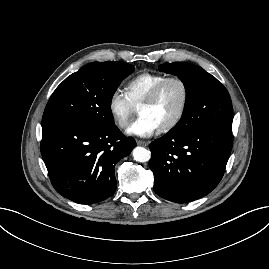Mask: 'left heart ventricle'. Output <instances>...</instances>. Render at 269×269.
I'll return each mask as SVG.
<instances>
[{
  "mask_svg": "<svg viewBox=\"0 0 269 269\" xmlns=\"http://www.w3.org/2000/svg\"><path fill=\"white\" fill-rule=\"evenodd\" d=\"M183 101V91L177 82L167 84L157 100L148 106H140V115H146L155 120L160 127L171 122L179 112Z\"/></svg>",
  "mask_w": 269,
  "mask_h": 269,
  "instance_id": "obj_1",
  "label": "left heart ventricle"
}]
</instances>
